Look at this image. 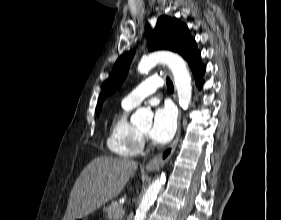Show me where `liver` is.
I'll return each mask as SVG.
<instances>
[{"label": "liver", "instance_id": "6515ba94", "mask_svg": "<svg viewBox=\"0 0 281 220\" xmlns=\"http://www.w3.org/2000/svg\"><path fill=\"white\" fill-rule=\"evenodd\" d=\"M138 164L124 158L100 156L82 170L71 190L62 220L81 219L117 197Z\"/></svg>", "mask_w": 281, "mask_h": 220}]
</instances>
